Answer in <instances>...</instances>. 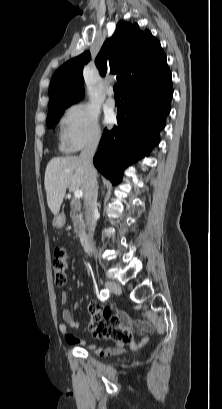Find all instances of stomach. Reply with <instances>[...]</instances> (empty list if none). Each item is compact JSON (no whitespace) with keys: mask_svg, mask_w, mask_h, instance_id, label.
I'll use <instances>...</instances> for the list:
<instances>
[{"mask_svg":"<svg viewBox=\"0 0 222 409\" xmlns=\"http://www.w3.org/2000/svg\"><path fill=\"white\" fill-rule=\"evenodd\" d=\"M66 217L64 213L58 214L53 220V226L56 228H62L65 225Z\"/></svg>","mask_w":222,"mask_h":409,"instance_id":"1","label":"stomach"}]
</instances>
